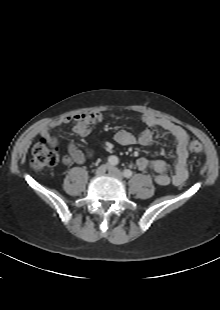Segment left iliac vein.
I'll use <instances>...</instances> for the list:
<instances>
[{
    "label": "left iliac vein",
    "instance_id": "obj_1",
    "mask_svg": "<svg viewBox=\"0 0 220 310\" xmlns=\"http://www.w3.org/2000/svg\"><path fill=\"white\" fill-rule=\"evenodd\" d=\"M108 170H109V173L112 176H114V177H116L118 179H122L123 178V173L118 168L111 166V167H109Z\"/></svg>",
    "mask_w": 220,
    "mask_h": 310
}]
</instances>
